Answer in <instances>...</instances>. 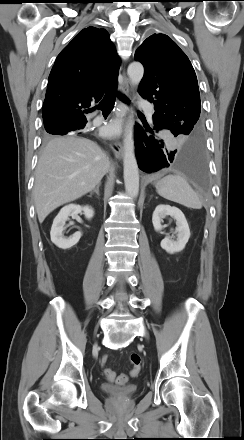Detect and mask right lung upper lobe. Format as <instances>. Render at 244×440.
<instances>
[{
  "instance_id": "obj_1",
  "label": "right lung upper lobe",
  "mask_w": 244,
  "mask_h": 440,
  "mask_svg": "<svg viewBox=\"0 0 244 440\" xmlns=\"http://www.w3.org/2000/svg\"><path fill=\"white\" fill-rule=\"evenodd\" d=\"M119 58L103 28L81 30L50 72L42 115L45 127L86 121L82 108L117 86Z\"/></svg>"
}]
</instances>
